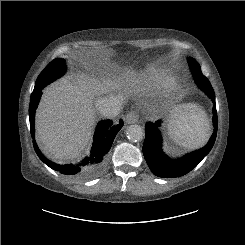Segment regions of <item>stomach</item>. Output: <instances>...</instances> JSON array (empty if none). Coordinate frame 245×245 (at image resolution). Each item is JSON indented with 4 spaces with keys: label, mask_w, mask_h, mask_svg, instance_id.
<instances>
[{
    "label": "stomach",
    "mask_w": 245,
    "mask_h": 245,
    "mask_svg": "<svg viewBox=\"0 0 245 245\" xmlns=\"http://www.w3.org/2000/svg\"><path fill=\"white\" fill-rule=\"evenodd\" d=\"M157 106L162 111H169L170 119L177 118L183 111L182 105H174V97L167 93L159 96Z\"/></svg>",
    "instance_id": "1"
}]
</instances>
